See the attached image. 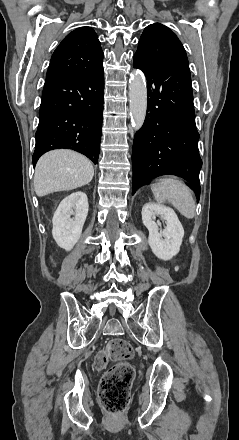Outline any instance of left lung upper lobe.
<instances>
[{
    "label": "left lung upper lobe",
    "instance_id": "obj_1",
    "mask_svg": "<svg viewBox=\"0 0 239 440\" xmlns=\"http://www.w3.org/2000/svg\"><path fill=\"white\" fill-rule=\"evenodd\" d=\"M136 56L156 63L188 66L185 49L177 36L166 26H147L139 40Z\"/></svg>",
    "mask_w": 239,
    "mask_h": 440
}]
</instances>
